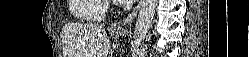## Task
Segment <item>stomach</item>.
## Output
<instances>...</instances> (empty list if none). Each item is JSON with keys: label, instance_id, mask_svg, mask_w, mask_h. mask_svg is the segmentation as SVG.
Returning <instances> with one entry per match:
<instances>
[{"label": "stomach", "instance_id": "0dacf381", "mask_svg": "<svg viewBox=\"0 0 249 57\" xmlns=\"http://www.w3.org/2000/svg\"><path fill=\"white\" fill-rule=\"evenodd\" d=\"M121 34H122L121 32L111 31V35L114 36V37H119Z\"/></svg>", "mask_w": 249, "mask_h": 57}]
</instances>
